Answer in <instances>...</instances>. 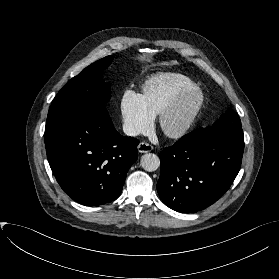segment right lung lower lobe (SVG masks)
Masks as SVG:
<instances>
[{
  "mask_svg": "<svg viewBox=\"0 0 279 279\" xmlns=\"http://www.w3.org/2000/svg\"><path fill=\"white\" fill-rule=\"evenodd\" d=\"M139 141L120 135L103 104L84 107L45 131L47 158L63 191L78 203L99 206L115 200L138 159Z\"/></svg>",
  "mask_w": 279,
  "mask_h": 279,
  "instance_id": "98d812e1",
  "label": "right lung lower lobe"
}]
</instances>
